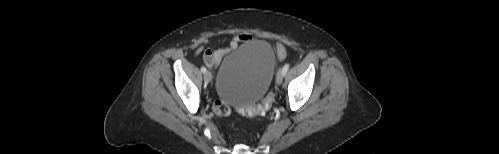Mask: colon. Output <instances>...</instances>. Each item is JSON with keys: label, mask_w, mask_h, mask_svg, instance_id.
I'll return each mask as SVG.
<instances>
[{"label": "colon", "mask_w": 499, "mask_h": 154, "mask_svg": "<svg viewBox=\"0 0 499 154\" xmlns=\"http://www.w3.org/2000/svg\"><path fill=\"white\" fill-rule=\"evenodd\" d=\"M211 50H207L204 53V58H210L211 57ZM277 57L281 60L285 58V49L281 46L278 45L276 49ZM272 101L273 97L271 94L267 95L265 98H263L259 103L254 104L252 106L238 109L237 111L243 115L247 116H260L265 114L272 106ZM213 111L214 113L219 116V117H225L228 116L231 113V108L229 105H227L225 102L222 100H217L214 105H213Z\"/></svg>", "instance_id": "obj_1"}]
</instances>
